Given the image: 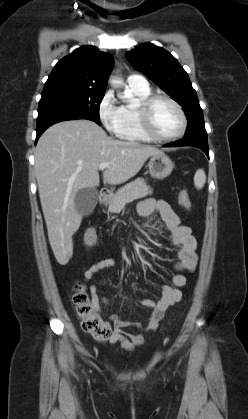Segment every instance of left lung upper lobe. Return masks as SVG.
Here are the masks:
<instances>
[{
    "label": "left lung upper lobe",
    "mask_w": 248,
    "mask_h": 419,
    "mask_svg": "<svg viewBox=\"0 0 248 419\" xmlns=\"http://www.w3.org/2000/svg\"><path fill=\"white\" fill-rule=\"evenodd\" d=\"M125 56L136 70L145 74L183 107L188 122L185 135L205 130L196 91L186 71L169 52L151 43H144Z\"/></svg>",
    "instance_id": "left-lung-upper-lobe-1"
}]
</instances>
